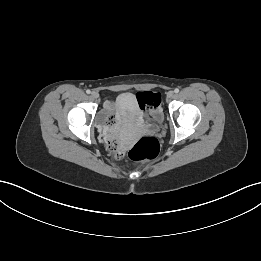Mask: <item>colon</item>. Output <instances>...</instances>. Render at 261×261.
Masks as SVG:
<instances>
[{"label":"colon","instance_id":"1","mask_svg":"<svg viewBox=\"0 0 261 261\" xmlns=\"http://www.w3.org/2000/svg\"><path fill=\"white\" fill-rule=\"evenodd\" d=\"M133 99L138 103L141 111L146 112V117L149 120L160 121L163 118V113L158 107L162 102L161 95L156 91H142L136 93ZM113 119L111 118V121ZM107 147L115 157L121 158L125 152L121 147L120 140L110 132L107 138ZM159 153V143L153 137L140 138L128 151L127 157L135 164H140L154 160Z\"/></svg>","mask_w":261,"mask_h":261}]
</instances>
